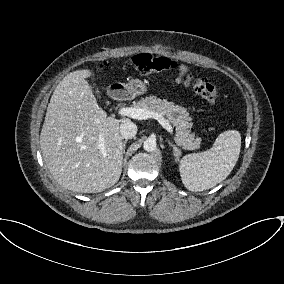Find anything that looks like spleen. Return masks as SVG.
<instances>
[{
  "label": "spleen",
  "instance_id": "spleen-1",
  "mask_svg": "<svg viewBox=\"0 0 284 284\" xmlns=\"http://www.w3.org/2000/svg\"><path fill=\"white\" fill-rule=\"evenodd\" d=\"M240 148V133L228 130L216 138L211 149L185 155L179 165L184 186L196 192L210 189L222 182L233 170Z\"/></svg>",
  "mask_w": 284,
  "mask_h": 284
}]
</instances>
